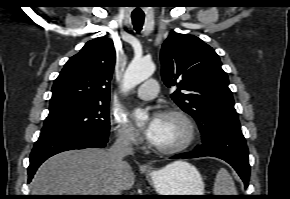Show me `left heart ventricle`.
<instances>
[{"label": "left heart ventricle", "instance_id": "left-heart-ventricle-1", "mask_svg": "<svg viewBox=\"0 0 290 199\" xmlns=\"http://www.w3.org/2000/svg\"><path fill=\"white\" fill-rule=\"evenodd\" d=\"M187 137V126L179 118L159 116L157 132L152 143L162 148H172L185 142Z\"/></svg>", "mask_w": 290, "mask_h": 199}]
</instances>
